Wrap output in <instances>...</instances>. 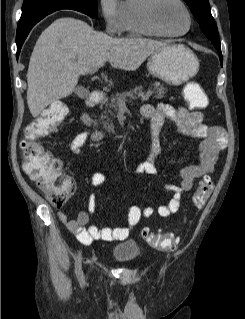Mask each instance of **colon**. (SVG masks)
<instances>
[{
  "mask_svg": "<svg viewBox=\"0 0 245 319\" xmlns=\"http://www.w3.org/2000/svg\"><path fill=\"white\" fill-rule=\"evenodd\" d=\"M184 97L192 109H203L209 100L204 89L196 81H189L184 87ZM68 110L63 104H53L41 116L36 118L26 129L25 138L20 143L23 154V169L46 195L54 206H63L75 190L72 177L65 174L58 158L37 142L58 128L66 119ZM213 187L209 174L201 180L195 194L194 202L199 208L203 207ZM141 234L152 247L165 251L176 249V238L171 233H155L149 228H143Z\"/></svg>",
  "mask_w": 245,
  "mask_h": 319,
  "instance_id": "colon-1",
  "label": "colon"
}]
</instances>
